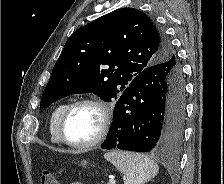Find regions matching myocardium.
Instances as JSON below:
<instances>
[{"mask_svg": "<svg viewBox=\"0 0 224 184\" xmlns=\"http://www.w3.org/2000/svg\"><path fill=\"white\" fill-rule=\"evenodd\" d=\"M81 105H91L96 107L101 114V123H100L97 135L92 140L86 143L78 144V143L71 142L66 137L65 125L70 113L76 107ZM111 123H112V110L105 101L95 97L78 98L66 106L64 112L62 113L60 117L59 124H58L59 137L62 143L66 144L67 146L71 148L79 149V150L89 149L100 144L107 137L110 131Z\"/></svg>", "mask_w": 224, "mask_h": 184, "instance_id": "myocardium-1", "label": "myocardium"}]
</instances>
